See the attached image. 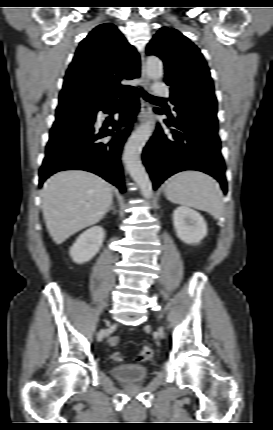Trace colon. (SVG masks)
<instances>
[{
	"mask_svg": "<svg viewBox=\"0 0 273 430\" xmlns=\"http://www.w3.org/2000/svg\"><path fill=\"white\" fill-rule=\"evenodd\" d=\"M119 342V337L118 336H113L109 339V344L111 346H115L117 345ZM154 356V349L152 347L146 346L143 349H141L139 351V353L137 354L136 358L139 361H148L151 360ZM112 359L116 362H120L123 360V356L120 352H114L111 355Z\"/></svg>",
	"mask_w": 273,
	"mask_h": 430,
	"instance_id": "obj_1",
	"label": "colon"
}]
</instances>
